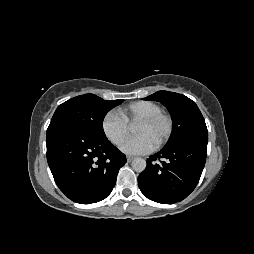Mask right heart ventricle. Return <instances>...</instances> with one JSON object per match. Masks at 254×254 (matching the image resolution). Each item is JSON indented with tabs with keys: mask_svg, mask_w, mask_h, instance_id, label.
Wrapping results in <instances>:
<instances>
[{
	"mask_svg": "<svg viewBox=\"0 0 254 254\" xmlns=\"http://www.w3.org/2000/svg\"><path fill=\"white\" fill-rule=\"evenodd\" d=\"M159 112H162V109L157 103L141 100L124 106L118 113L127 123L132 124Z\"/></svg>",
	"mask_w": 254,
	"mask_h": 254,
	"instance_id": "right-heart-ventricle-1",
	"label": "right heart ventricle"
}]
</instances>
